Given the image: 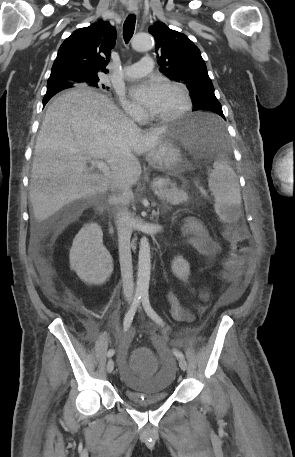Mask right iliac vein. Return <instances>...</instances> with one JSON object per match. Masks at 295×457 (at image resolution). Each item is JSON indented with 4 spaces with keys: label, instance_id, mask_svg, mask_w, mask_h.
<instances>
[{
    "label": "right iliac vein",
    "instance_id": "right-iliac-vein-1",
    "mask_svg": "<svg viewBox=\"0 0 295 457\" xmlns=\"http://www.w3.org/2000/svg\"><path fill=\"white\" fill-rule=\"evenodd\" d=\"M114 369V361L112 358H110L107 362V371L111 373Z\"/></svg>",
    "mask_w": 295,
    "mask_h": 457
}]
</instances>
